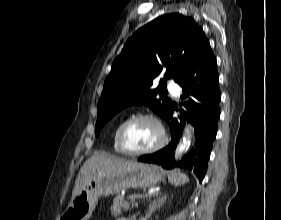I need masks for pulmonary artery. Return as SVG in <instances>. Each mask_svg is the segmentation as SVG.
I'll list each match as a JSON object with an SVG mask.
<instances>
[{
    "label": "pulmonary artery",
    "instance_id": "1",
    "mask_svg": "<svg viewBox=\"0 0 281 220\" xmlns=\"http://www.w3.org/2000/svg\"><path fill=\"white\" fill-rule=\"evenodd\" d=\"M168 90L174 96H177L179 94V92H180L179 86L176 83H174V82H169L168 83Z\"/></svg>",
    "mask_w": 281,
    "mask_h": 220
}]
</instances>
